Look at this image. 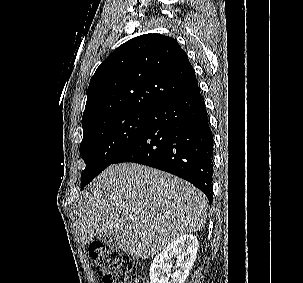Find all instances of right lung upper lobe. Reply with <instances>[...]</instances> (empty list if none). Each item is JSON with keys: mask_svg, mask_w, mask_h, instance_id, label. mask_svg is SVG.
Segmentation results:
<instances>
[{"mask_svg": "<svg viewBox=\"0 0 303 283\" xmlns=\"http://www.w3.org/2000/svg\"><path fill=\"white\" fill-rule=\"evenodd\" d=\"M194 69L177 41L146 34L119 46L91 78L83 130L122 112H156L197 86Z\"/></svg>", "mask_w": 303, "mask_h": 283, "instance_id": "right-lung-upper-lobe-1", "label": "right lung upper lobe"}]
</instances>
